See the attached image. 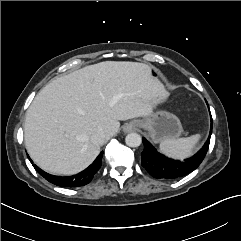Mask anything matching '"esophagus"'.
Wrapping results in <instances>:
<instances>
[{
  "label": "esophagus",
  "mask_w": 241,
  "mask_h": 241,
  "mask_svg": "<svg viewBox=\"0 0 241 241\" xmlns=\"http://www.w3.org/2000/svg\"><path fill=\"white\" fill-rule=\"evenodd\" d=\"M136 129V124L133 122L127 123L124 127L123 130L125 132H131L134 131Z\"/></svg>",
  "instance_id": "esophagus-1"
}]
</instances>
